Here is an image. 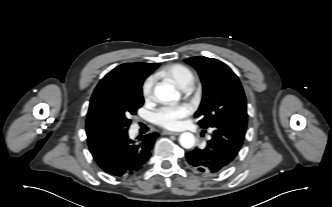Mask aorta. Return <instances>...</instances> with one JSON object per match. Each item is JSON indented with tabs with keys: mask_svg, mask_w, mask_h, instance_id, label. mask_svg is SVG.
<instances>
[{
	"mask_svg": "<svg viewBox=\"0 0 332 207\" xmlns=\"http://www.w3.org/2000/svg\"><path fill=\"white\" fill-rule=\"evenodd\" d=\"M156 98L164 103L178 101L180 93L170 84H159L154 89ZM179 143L183 148L190 149L195 145V136L190 132H184L179 137Z\"/></svg>",
	"mask_w": 332,
	"mask_h": 207,
	"instance_id": "762f6f07",
	"label": "aorta"
}]
</instances>
